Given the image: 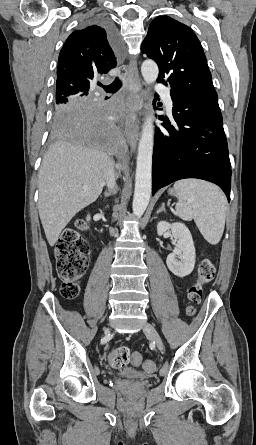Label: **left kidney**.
<instances>
[{
    "label": "left kidney",
    "mask_w": 256,
    "mask_h": 445,
    "mask_svg": "<svg viewBox=\"0 0 256 445\" xmlns=\"http://www.w3.org/2000/svg\"><path fill=\"white\" fill-rule=\"evenodd\" d=\"M171 230L176 248L173 253L169 254L166 259V264L169 270L179 277L189 275L195 266V247L192 235L189 229L179 222L168 223L161 221L157 224V234L162 236L164 233Z\"/></svg>",
    "instance_id": "obj_1"
}]
</instances>
